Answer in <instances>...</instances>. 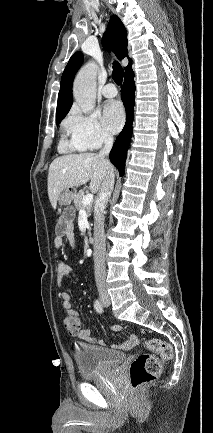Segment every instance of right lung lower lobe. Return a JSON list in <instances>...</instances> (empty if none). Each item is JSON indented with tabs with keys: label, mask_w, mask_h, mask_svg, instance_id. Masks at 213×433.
I'll use <instances>...</instances> for the list:
<instances>
[{
	"label": "right lung lower lobe",
	"mask_w": 213,
	"mask_h": 433,
	"mask_svg": "<svg viewBox=\"0 0 213 433\" xmlns=\"http://www.w3.org/2000/svg\"><path fill=\"white\" fill-rule=\"evenodd\" d=\"M133 78L134 73L131 68L125 73L124 84L121 88V98L126 108V123L122 132L116 138L110 152V161L119 170L120 176L124 175L127 150L132 136L135 92V83Z\"/></svg>",
	"instance_id": "1"
}]
</instances>
